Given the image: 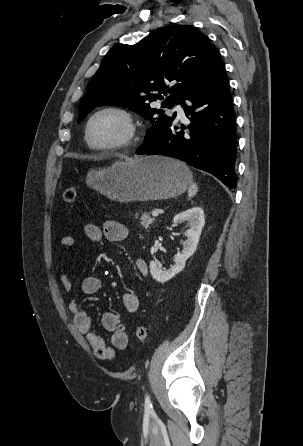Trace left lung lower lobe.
I'll use <instances>...</instances> for the list:
<instances>
[{
    "instance_id": "obj_1",
    "label": "left lung lower lobe",
    "mask_w": 303,
    "mask_h": 446,
    "mask_svg": "<svg viewBox=\"0 0 303 446\" xmlns=\"http://www.w3.org/2000/svg\"><path fill=\"white\" fill-rule=\"evenodd\" d=\"M184 99L191 102L190 106ZM191 124L178 131L173 119L137 154L170 156L204 170L227 187H236V132L232 97L224 62L217 55L210 69L179 102ZM176 114H174L175 118ZM184 130V126H181Z\"/></svg>"
}]
</instances>
